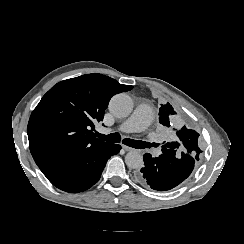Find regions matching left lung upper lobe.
<instances>
[{
	"mask_svg": "<svg viewBox=\"0 0 244 244\" xmlns=\"http://www.w3.org/2000/svg\"><path fill=\"white\" fill-rule=\"evenodd\" d=\"M175 114L176 112L170 103L161 105L159 109V122L166 127H170V122ZM176 135L178 138L172 142H164L162 149H174L178 153H185L199 160L201 153L198 144L199 134L195 130L183 126L181 129L176 130Z\"/></svg>",
	"mask_w": 244,
	"mask_h": 244,
	"instance_id": "5c2ea615",
	"label": "left lung upper lobe"
}]
</instances>
